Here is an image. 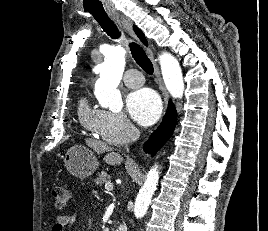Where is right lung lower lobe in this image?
<instances>
[{"label":"right lung lower lobe","instance_id":"right-lung-lower-lobe-1","mask_svg":"<svg viewBox=\"0 0 268 231\" xmlns=\"http://www.w3.org/2000/svg\"><path fill=\"white\" fill-rule=\"evenodd\" d=\"M177 122V111L171 101H169L167 112L160 126L152 133L149 140L145 144V151L151 155L156 152L169 140L172 136Z\"/></svg>","mask_w":268,"mask_h":231}]
</instances>
